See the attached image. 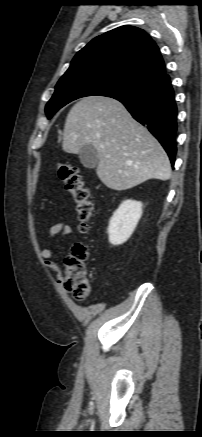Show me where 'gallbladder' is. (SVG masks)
<instances>
[{
    "instance_id": "gallbladder-1",
    "label": "gallbladder",
    "mask_w": 202,
    "mask_h": 437,
    "mask_svg": "<svg viewBox=\"0 0 202 437\" xmlns=\"http://www.w3.org/2000/svg\"><path fill=\"white\" fill-rule=\"evenodd\" d=\"M79 159L82 165L88 169L98 166L97 150L92 144L84 145L79 152Z\"/></svg>"
}]
</instances>
